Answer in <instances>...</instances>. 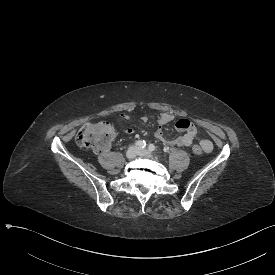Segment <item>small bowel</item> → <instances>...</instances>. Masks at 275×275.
<instances>
[{
  "label": "small bowel",
  "instance_id": "c3829d8e",
  "mask_svg": "<svg viewBox=\"0 0 275 275\" xmlns=\"http://www.w3.org/2000/svg\"><path fill=\"white\" fill-rule=\"evenodd\" d=\"M122 119H128L125 114L121 115ZM107 120L111 119L110 115L106 116ZM174 121V116L169 113L165 112L162 113L159 120L158 124L159 127L154 133V136L157 140L170 145V146H184V147H190L194 143L196 136H197V127L196 125L191 122L190 120L186 118H181L176 121L175 127L178 131L182 132L183 134L181 136H178L173 139H167L162 131V126L170 124ZM125 133L129 136L133 135L135 133V130L133 128H128L125 130ZM201 144L204 145L205 151L210 152L213 149V144L209 140H202Z\"/></svg>",
  "mask_w": 275,
  "mask_h": 275
}]
</instances>
